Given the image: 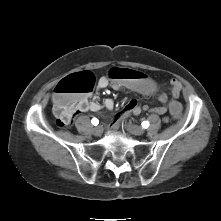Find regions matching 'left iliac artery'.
Wrapping results in <instances>:
<instances>
[{
	"mask_svg": "<svg viewBox=\"0 0 221 221\" xmlns=\"http://www.w3.org/2000/svg\"><path fill=\"white\" fill-rule=\"evenodd\" d=\"M141 125H142V127H143L144 129H146V128L149 127V122H148V121H143Z\"/></svg>",
	"mask_w": 221,
	"mask_h": 221,
	"instance_id": "left-iliac-artery-1",
	"label": "left iliac artery"
}]
</instances>
